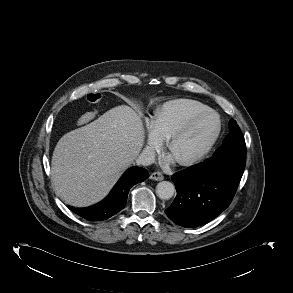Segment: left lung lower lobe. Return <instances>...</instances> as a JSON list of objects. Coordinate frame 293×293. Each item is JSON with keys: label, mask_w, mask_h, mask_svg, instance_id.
<instances>
[{"label": "left lung lower lobe", "mask_w": 293, "mask_h": 293, "mask_svg": "<svg viewBox=\"0 0 293 293\" xmlns=\"http://www.w3.org/2000/svg\"><path fill=\"white\" fill-rule=\"evenodd\" d=\"M246 164V147L173 174L177 190L166 215L183 227L210 222L231 203Z\"/></svg>", "instance_id": "1"}]
</instances>
